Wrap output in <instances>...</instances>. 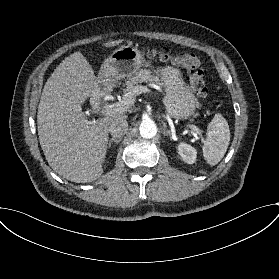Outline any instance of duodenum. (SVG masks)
I'll return each mask as SVG.
<instances>
[{
    "label": "duodenum",
    "instance_id": "duodenum-1",
    "mask_svg": "<svg viewBox=\"0 0 279 279\" xmlns=\"http://www.w3.org/2000/svg\"><path fill=\"white\" fill-rule=\"evenodd\" d=\"M103 95H104V85L102 83H97L91 95V103L95 109H98L100 107Z\"/></svg>",
    "mask_w": 279,
    "mask_h": 279
}]
</instances>
